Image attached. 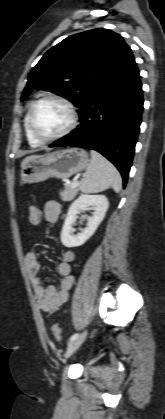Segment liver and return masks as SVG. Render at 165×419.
Listing matches in <instances>:
<instances>
[{"label":"liver","mask_w":165,"mask_h":419,"mask_svg":"<svg viewBox=\"0 0 165 419\" xmlns=\"http://www.w3.org/2000/svg\"><path fill=\"white\" fill-rule=\"evenodd\" d=\"M37 157V155H31L26 157L25 159H23L22 163H21V167H23L30 159Z\"/></svg>","instance_id":"6515ba94"}]
</instances>
